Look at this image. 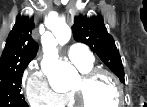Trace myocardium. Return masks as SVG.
Listing matches in <instances>:
<instances>
[{
  "label": "myocardium",
  "instance_id": "f54148a6",
  "mask_svg": "<svg viewBox=\"0 0 147 107\" xmlns=\"http://www.w3.org/2000/svg\"><path fill=\"white\" fill-rule=\"evenodd\" d=\"M99 76H106L110 79V81L114 84L117 91V95H118L117 106H121L123 104V90L117 77L110 71L99 68H91L85 72H82L80 76L82 88L71 90L70 94L72 95L76 107H89L84 99L82 89Z\"/></svg>",
  "mask_w": 147,
  "mask_h": 107
}]
</instances>
